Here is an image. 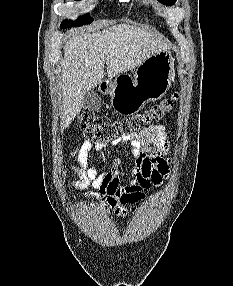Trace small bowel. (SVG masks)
Wrapping results in <instances>:
<instances>
[{"instance_id":"obj_1","label":"small bowel","mask_w":233,"mask_h":286,"mask_svg":"<svg viewBox=\"0 0 233 286\" xmlns=\"http://www.w3.org/2000/svg\"><path fill=\"white\" fill-rule=\"evenodd\" d=\"M128 142L131 153L135 159L132 168V178L125 185H121L116 173L120 161L115 160L112 169L100 171L98 167H87V155L92 148L89 140L84 141L75 149L71 157H76L80 163L78 168H72L71 173L81 178L79 184H71L69 188L86 189L92 187L99 192L95 198L101 201L104 207H108L117 216H126L128 206L134 205V199L142 194L139 200L144 198V191L151 186H158L169 171L170 159L167 158L171 149L167 138L166 129L163 125H152L143 129L140 133L126 137L121 141L113 142L118 145ZM109 145L97 143L95 149L104 151Z\"/></svg>"}]
</instances>
